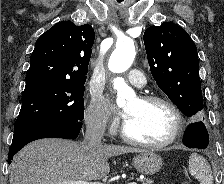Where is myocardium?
I'll list each match as a JSON object with an SVG mask.
<instances>
[{
    "mask_svg": "<svg viewBox=\"0 0 224 184\" xmlns=\"http://www.w3.org/2000/svg\"><path fill=\"white\" fill-rule=\"evenodd\" d=\"M139 100L144 103H160L168 107L174 116V127L172 133L166 140L162 142L159 143L145 142L136 139L129 134L127 123L125 121L121 129L122 137L131 144L150 149H163L173 144L181 136L184 129V118L178 106L170 99L160 95H142L139 97Z\"/></svg>",
    "mask_w": 224,
    "mask_h": 184,
    "instance_id": "myocardium-1",
    "label": "myocardium"
}]
</instances>
